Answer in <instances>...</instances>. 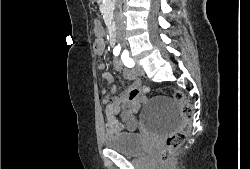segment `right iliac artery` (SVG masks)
<instances>
[{
    "mask_svg": "<svg viewBox=\"0 0 250 169\" xmlns=\"http://www.w3.org/2000/svg\"><path fill=\"white\" fill-rule=\"evenodd\" d=\"M119 53H120V48H114V50H113V54L115 55V56H118L119 55Z\"/></svg>",
    "mask_w": 250,
    "mask_h": 169,
    "instance_id": "right-iliac-artery-1",
    "label": "right iliac artery"
}]
</instances>
